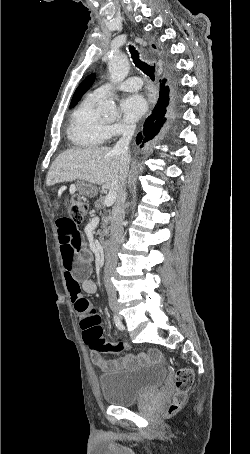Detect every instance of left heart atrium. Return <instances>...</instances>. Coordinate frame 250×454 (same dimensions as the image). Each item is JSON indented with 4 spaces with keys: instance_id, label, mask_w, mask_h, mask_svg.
<instances>
[{
    "instance_id": "39dd6f15",
    "label": "left heart atrium",
    "mask_w": 250,
    "mask_h": 454,
    "mask_svg": "<svg viewBox=\"0 0 250 454\" xmlns=\"http://www.w3.org/2000/svg\"><path fill=\"white\" fill-rule=\"evenodd\" d=\"M120 110L124 121L134 123L147 111V102L141 94H131L121 101Z\"/></svg>"
}]
</instances>
